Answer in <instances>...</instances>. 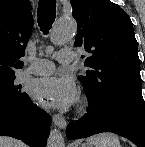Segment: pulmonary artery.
Segmentation results:
<instances>
[{"label":"pulmonary artery","mask_w":145,"mask_h":147,"mask_svg":"<svg viewBox=\"0 0 145 147\" xmlns=\"http://www.w3.org/2000/svg\"><path fill=\"white\" fill-rule=\"evenodd\" d=\"M75 53L70 49H65L57 54V60L60 64L66 65L72 62ZM55 69L53 62L45 59H37L26 69V73L33 75L51 74Z\"/></svg>","instance_id":"e3ab8cb5"}]
</instances>
